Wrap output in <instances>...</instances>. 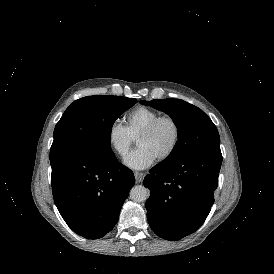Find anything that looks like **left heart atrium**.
Returning a JSON list of instances; mask_svg holds the SVG:
<instances>
[{
  "label": "left heart atrium",
  "mask_w": 274,
  "mask_h": 274,
  "mask_svg": "<svg viewBox=\"0 0 274 274\" xmlns=\"http://www.w3.org/2000/svg\"><path fill=\"white\" fill-rule=\"evenodd\" d=\"M155 158L143 147H137L124 156V164L134 170H142L151 166Z\"/></svg>",
  "instance_id": "left-heart-atrium-1"
}]
</instances>
